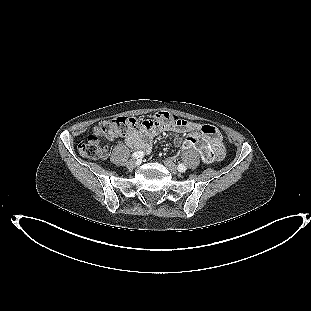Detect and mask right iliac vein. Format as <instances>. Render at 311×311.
<instances>
[{"instance_id":"1","label":"right iliac vein","mask_w":311,"mask_h":311,"mask_svg":"<svg viewBox=\"0 0 311 311\" xmlns=\"http://www.w3.org/2000/svg\"><path fill=\"white\" fill-rule=\"evenodd\" d=\"M136 165H137V162H136V160H134V159H131V160H129V161L127 162V167L130 168V169L135 168Z\"/></svg>"}]
</instances>
